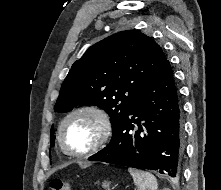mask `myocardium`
Returning <instances> with one entry per match:
<instances>
[{"label":"myocardium","instance_id":"obj_1","mask_svg":"<svg viewBox=\"0 0 221 190\" xmlns=\"http://www.w3.org/2000/svg\"><path fill=\"white\" fill-rule=\"evenodd\" d=\"M83 113L90 114L97 120L98 133L94 143L90 147H88L83 151H76L68 148L64 143L63 130L69 119H71L72 117L78 114H83ZM111 133H112V121L107 111L100 106L86 104L72 109L63 117L58 128V141L61 149L65 153L74 157H85L101 149L108 141Z\"/></svg>","mask_w":221,"mask_h":190}]
</instances>
